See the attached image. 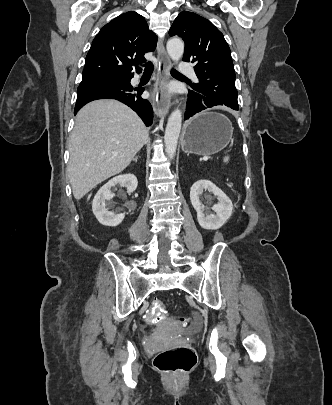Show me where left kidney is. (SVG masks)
<instances>
[{
	"label": "left kidney",
	"instance_id": "obj_1",
	"mask_svg": "<svg viewBox=\"0 0 332 405\" xmlns=\"http://www.w3.org/2000/svg\"><path fill=\"white\" fill-rule=\"evenodd\" d=\"M204 190L212 192L218 198V203L212 206L214 213L204 214V208L201 205L200 196ZM190 200L193 208L197 212L199 225L207 230H216L221 228L231 217L233 204L228 196L209 180H198L190 190Z\"/></svg>",
	"mask_w": 332,
	"mask_h": 405
}]
</instances>
